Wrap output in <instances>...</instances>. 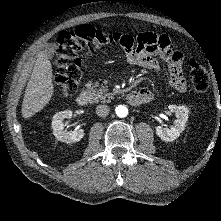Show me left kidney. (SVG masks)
<instances>
[{"instance_id": "5707ae66", "label": "left kidney", "mask_w": 221, "mask_h": 221, "mask_svg": "<svg viewBox=\"0 0 221 221\" xmlns=\"http://www.w3.org/2000/svg\"><path fill=\"white\" fill-rule=\"evenodd\" d=\"M168 108L176 115L174 125L171 128L157 126L156 134L161 140L165 142H172L177 139L185 129V124L188 120L189 109L185 106H177L173 104L169 105Z\"/></svg>"}]
</instances>
